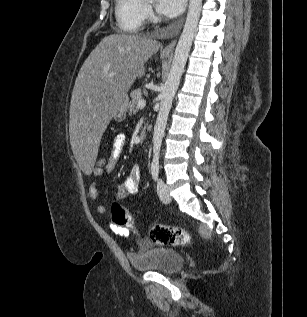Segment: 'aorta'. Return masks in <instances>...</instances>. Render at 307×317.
Masks as SVG:
<instances>
[{
    "label": "aorta",
    "mask_w": 307,
    "mask_h": 317,
    "mask_svg": "<svg viewBox=\"0 0 307 317\" xmlns=\"http://www.w3.org/2000/svg\"><path fill=\"white\" fill-rule=\"evenodd\" d=\"M201 9L202 0H189L188 13L183 32L175 49L168 78L163 86L162 92L160 93V109L154 126L152 138V166L157 167L159 165L160 149L167 124L168 115L172 106L173 98L178 89L181 76L184 72V67L189 56L194 36L197 31Z\"/></svg>",
    "instance_id": "1"
}]
</instances>
